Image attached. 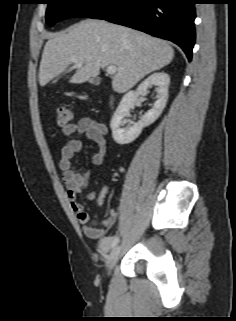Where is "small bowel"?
Masks as SVG:
<instances>
[{
	"label": "small bowel",
	"instance_id": "c3829d8e",
	"mask_svg": "<svg viewBox=\"0 0 236 321\" xmlns=\"http://www.w3.org/2000/svg\"><path fill=\"white\" fill-rule=\"evenodd\" d=\"M108 129L106 125L97 122L91 117L80 118L76 122H69L62 126V133L67 137V141L61 148V157L59 167L62 171L63 181L66 186V195L70 206L76 214L79 223L82 225L85 235L91 239H100L106 228L112 225L117 217V211L112 209L109 217L102 222V226H97L95 221L90 219L89 214L84 209L83 205L78 201V196L86 192L90 171L78 172L72 163L74 155L81 151L82 141L72 138L75 134H83L88 139L93 141L97 150L92 156V163L94 165H102L107 149L106 134ZM109 187L107 185L85 193V199L88 201H96L98 206L102 207L105 203V198L108 194ZM111 239L104 238L100 242V248L106 252L110 246Z\"/></svg>",
	"mask_w": 236,
	"mask_h": 321
}]
</instances>
